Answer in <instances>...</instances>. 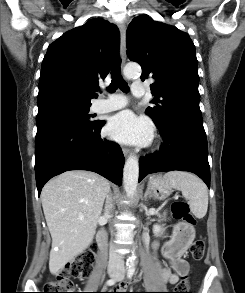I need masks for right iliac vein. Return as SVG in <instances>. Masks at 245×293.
I'll use <instances>...</instances> for the list:
<instances>
[{"label":"right iliac vein","instance_id":"right-iliac-vein-1","mask_svg":"<svg viewBox=\"0 0 245 293\" xmlns=\"http://www.w3.org/2000/svg\"><path fill=\"white\" fill-rule=\"evenodd\" d=\"M111 276L112 277H117V274L116 273H111Z\"/></svg>","mask_w":245,"mask_h":293}]
</instances>
